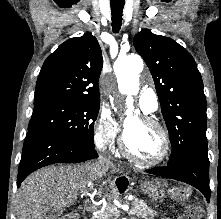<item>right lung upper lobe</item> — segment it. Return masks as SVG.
<instances>
[{"instance_id":"cb5924a9","label":"right lung upper lobe","mask_w":221,"mask_h":219,"mask_svg":"<svg viewBox=\"0 0 221 219\" xmlns=\"http://www.w3.org/2000/svg\"><path fill=\"white\" fill-rule=\"evenodd\" d=\"M102 66L100 46L91 33L65 41L45 60L37 79L34 103L100 102L98 80Z\"/></svg>"}]
</instances>
